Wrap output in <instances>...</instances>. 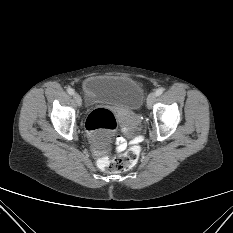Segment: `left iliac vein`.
Listing matches in <instances>:
<instances>
[{
    "label": "left iliac vein",
    "instance_id": "obj_1",
    "mask_svg": "<svg viewBox=\"0 0 233 233\" xmlns=\"http://www.w3.org/2000/svg\"><path fill=\"white\" fill-rule=\"evenodd\" d=\"M156 97H157L156 92H151V93L149 94V96H148V98H147V106H148V108H151V107H152L153 103H154L155 100H156Z\"/></svg>",
    "mask_w": 233,
    "mask_h": 233
}]
</instances>
